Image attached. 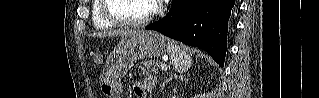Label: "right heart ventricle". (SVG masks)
<instances>
[{"label":"right heart ventricle","mask_w":319,"mask_h":98,"mask_svg":"<svg viewBox=\"0 0 319 98\" xmlns=\"http://www.w3.org/2000/svg\"><path fill=\"white\" fill-rule=\"evenodd\" d=\"M92 25L96 30H106L113 25L104 19L102 15V0H94L91 6Z\"/></svg>","instance_id":"right-heart-ventricle-1"}]
</instances>
